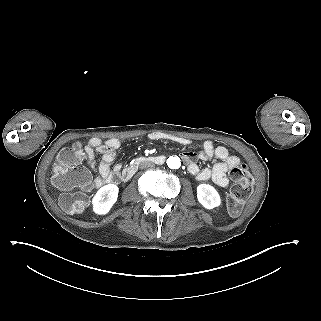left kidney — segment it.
Masks as SVG:
<instances>
[{
    "label": "left kidney",
    "instance_id": "1",
    "mask_svg": "<svg viewBox=\"0 0 321 321\" xmlns=\"http://www.w3.org/2000/svg\"><path fill=\"white\" fill-rule=\"evenodd\" d=\"M198 202L208 210L221 205V197L218 191L210 184H199L196 188Z\"/></svg>",
    "mask_w": 321,
    "mask_h": 321
}]
</instances>
